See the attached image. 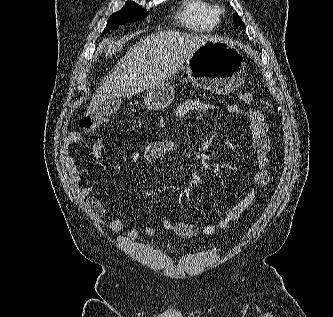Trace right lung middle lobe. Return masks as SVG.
Listing matches in <instances>:
<instances>
[{
	"label": "right lung middle lobe",
	"instance_id": "dd1d6c3e",
	"mask_svg": "<svg viewBox=\"0 0 333 317\" xmlns=\"http://www.w3.org/2000/svg\"><path fill=\"white\" fill-rule=\"evenodd\" d=\"M146 16L147 13L140 6L134 2H127L121 11L110 16L103 33L110 31L120 24L143 19Z\"/></svg>",
	"mask_w": 333,
	"mask_h": 317
}]
</instances>
